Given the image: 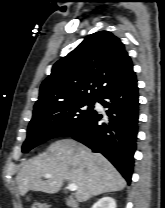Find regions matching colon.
Instances as JSON below:
<instances>
[{"instance_id":"obj_1","label":"colon","mask_w":165,"mask_h":208,"mask_svg":"<svg viewBox=\"0 0 165 208\" xmlns=\"http://www.w3.org/2000/svg\"><path fill=\"white\" fill-rule=\"evenodd\" d=\"M30 208H47V206L38 200H33L30 204Z\"/></svg>"}]
</instances>
